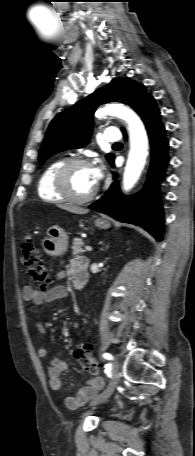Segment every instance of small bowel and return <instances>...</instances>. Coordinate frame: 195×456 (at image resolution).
Masks as SVG:
<instances>
[{
  "label": "small bowel",
  "instance_id": "small-bowel-1",
  "mask_svg": "<svg viewBox=\"0 0 195 456\" xmlns=\"http://www.w3.org/2000/svg\"><path fill=\"white\" fill-rule=\"evenodd\" d=\"M80 260L81 258L75 259L70 267L63 271H60L57 275L58 279L73 275L74 269ZM22 295L25 301L32 302L36 305H41L44 303H50L64 299L67 296V289L63 285H55L47 291L36 289L31 286H26L23 289ZM37 328L41 334L45 333V330L41 324H38ZM38 355L40 357H46L48 355L47 348L40 347L38 350ZM67 369L68 364L60 358H53L47 368L49 386L52 391L59 396H64V387L60 376ZM103 384L104 382L100 378L88 380L86 385L82 387L76 395L65 398L66 406L70 409H76L80 407L91 397H93L103 386Z\"/></svg>",
  "mask_w": 195,
  "mask_h": 456
}]
</instances>
